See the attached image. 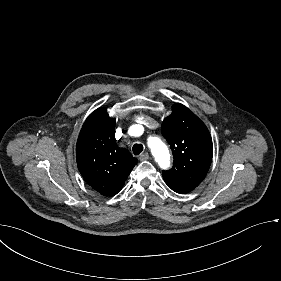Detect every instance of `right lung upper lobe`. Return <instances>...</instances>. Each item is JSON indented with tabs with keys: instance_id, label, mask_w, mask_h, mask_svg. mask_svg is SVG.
<instances>
[{
	"instance_id": "cb5924a9",
	"label": "right lung upper lobe",
	"mask_w": 281,
	"mask_h": 281,
	"mask_svg": "<svg viewBox=\"0 0 281 281\" xmlns=\"http://www.w3.org/2000/svg\"><path fill=\"white\" fill-rule=\"evenodd\" d=\"M78 169L85 181L104 196H113L124 185L137 159L115 139V120L98 108L85 121L76 146Z\"/></svg>"
}]
</instances>
